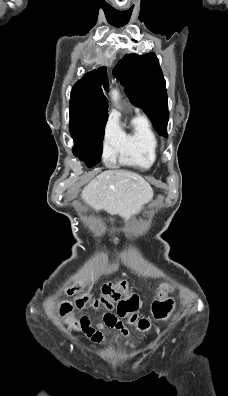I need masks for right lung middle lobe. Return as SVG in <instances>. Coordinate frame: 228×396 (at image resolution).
<instances>
[{"mask_svg": "<svg viewBox=\"0 0 228 396\" xmlns=\"http://www.w3.org/2000/svg\"><path fill=\"white\" fill-rule=\"evenodd\" d=\"M108 111L98 115L84 116L70 110L69 129L75 142L73 153L82 159L88 167H93L101 160L104 127Z\"/></svg>", "mask_w": 228, "mask_h": 396, "instance_id": "1", "label": "right lung middle lobe"}]
</instances>
